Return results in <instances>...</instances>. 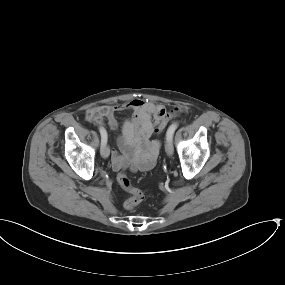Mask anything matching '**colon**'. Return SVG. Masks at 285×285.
Instances as JSON below:
<instances>
[{
    "mask_svg": "<svg viewBox=\"0 0 285 285\" xmlns=\"http://www.w3.org/2000/svg\"><path fill=\"white\" fill-rule=\"evenodd\" d=\"M179 111V108L166 111L165 108H160L157 119V131L160 132L167 123L174 118ZM118 184L127 192L130 193V197L125 201L124 206L127 210H132L143 199V193L140 189L134 187L125 170H121L117 174Z\"/></svg>",
    "mask_w": 285,
    "mask_h": 285,
    "instance_id": "1",
    "label": "colon"
}]
</instances>
